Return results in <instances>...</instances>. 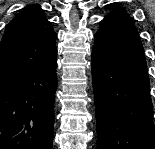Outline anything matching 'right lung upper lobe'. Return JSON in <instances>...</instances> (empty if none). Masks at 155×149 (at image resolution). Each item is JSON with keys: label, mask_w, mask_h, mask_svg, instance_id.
Returning <instances> with one entry per match:
<instances>
[{"label": "right lung upper lobe", "mask_w": 155, "mask_h": 149, "mask_svg": "<svg viewBox=\"0 0 155 149\" xmlns=\"http://www.w3.org/2000/svg\"><path fill=\"white\" fill-rule=\"evenodd\" d=\"M56 33L38 5L7 25L0 47V78L39 66L57 55Z\"/></svg>", "instance_id": "obj_1"}]
</instances>
